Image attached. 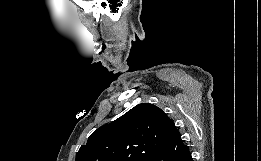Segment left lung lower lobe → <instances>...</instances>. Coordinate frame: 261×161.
I'll use <instances>...</instances> for the list:
<instances>
[{"mask_svg":"<svg viewBox=\"0 0 261 161\" xmlns=\"http://www.w3.org/2000/svg\"><path fill=\"white\" fill-rule=\"evenodd\" d=\"M149 161H193V159L177 130L168 144L155 149Z\"/></svg>","mask_w":261,"mask_h":161,"instance_id":"obj_1","label":"left lung lower lobe"}]
</instances>
